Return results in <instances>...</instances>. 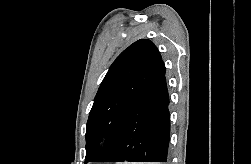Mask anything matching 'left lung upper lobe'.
Segmentation results:
<instances>
[{
	"label": "left lung upper lobe",
	"instance_id": "5c2ea615",
	"mask_svg": "<svg viewBox=\"0 0 251 164\" xmlns=\"http://www.w3.org/2000/svg\"><path fill=\"white\" fill-rule=\"evenodd\" d=\"M165 71L158 49L147 39L134 42L116 58L99 87L89 114L85 163L107 159L129 110ZM102 135L108 136V145L96 151Z\"/></svg>",
	"mask_w": 251,
	"mask_h": 164
}]
</instances>
